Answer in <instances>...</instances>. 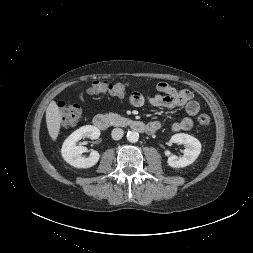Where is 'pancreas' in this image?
Wrapping results in <instances>:
<instances>
[{
	"mask_svg": "<svg viewBox=\"0 0 253 253\" xmlns=\"http://www.w3.org/2000/svg\"><path fill=\"white\" fill-rule=\"evenodd\" d=\"M107 117L110 120L111 124L115 126L124 125L125 122L128 120L127 118H124L117 113H108Z\"/></svg>",
	"mask_w": 253,
	"mask_h": 253,
	"instance_id": "obj_1",
	"label": "pancreas"
}]
</instances>
